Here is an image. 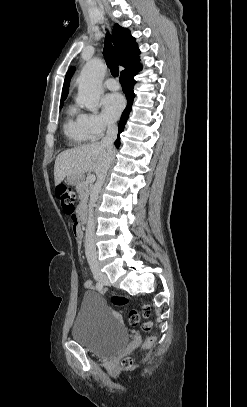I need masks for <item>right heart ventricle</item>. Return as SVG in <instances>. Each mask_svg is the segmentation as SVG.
<instances>
[{
	"label": "right heart ventricle",
	"mask_w": 247,
	"mask_h": 407,
	"mask_svg": "<svg viewBox=\"0 0 247 407\" xmlns=\"http://www.w3.org/2000/svg\"><path fill=\"white\" fill-rule=\"evenodd\" d=\"M64 134L73 145H83L91 139L85 125L84 114L76 106H69L63 126Z\"/></svg>",
	"instance_id": "1"
}]
</instances>
